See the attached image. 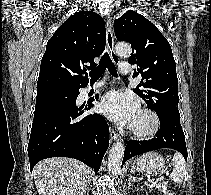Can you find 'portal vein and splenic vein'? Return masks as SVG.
Segmentation results:
<instances>
[{"instance_id": "portal-vein-and-splenic-vein-1", "label": "portal vein and splenic vein", "mask_w": 211, "mask_h": 195, "mask_svg": "<svg viewBox=\"0 0 211 195\" xmlns=\"http://www.w3.org/2000/svg\"><path fill=\"white\" fill-rule=\"evenodd\" d=\"M166 174H168V173H166ZM158 181V180H157ZM157 181H154V182H152L150 185H147V186H149V187H154L156 184H157Z\"/></svg>"}]
</instances>
